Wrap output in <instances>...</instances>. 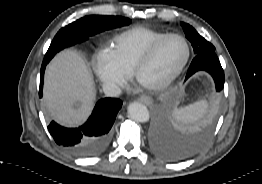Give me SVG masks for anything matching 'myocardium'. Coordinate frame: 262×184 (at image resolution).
Masks as SVG:
<instances>
[{"instance_id":"myocardium-1","label":"myocardium","mask_w":262,"mask_h":184,"mask_svg":"<svg viewBox=\"0 0 262 184\" xmlns=\"http://www.w3.org/2000/svg\"><path fill=\"white\" fill-rule=\"evenodd\" d=\"M172 37L179 38L183 41L186 47V55L180 66L165 80L159 82V83H144L141 81L140 75L141 72L151 63L156 51L161 46V44ZM191 55V47L187 41V39L178 33H167L161 36L159 39H157L155 42H153L148 49L143 53L141 58L137 61L135 64L133 70H132V77L135 80V82L141 86L142 88L149 90V91H161L169 87L183 72L184 68L188 64V61L190 59Z\"/></svg>"}]
</instances>
